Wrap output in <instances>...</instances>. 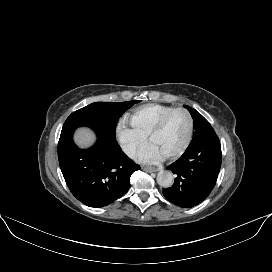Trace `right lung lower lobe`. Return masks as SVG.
<instances>
[{
	"label": "right lung lower lobe",
	"mask_w": 272,
	"mask_h": 272,
	"mask_svg": "<svg viewBox=\"0 0 272 272\" xmlns=\"http://www.w3.org/2000/svg\"><path fill=\"white\" fill-rule=\"evenodd\" d=\"M77 123L64 124L59 143V165L71 193L89 207H103L124 195L132 173L139 165L121 150L115 136L96 127V144L87 150L73 142Z\"/></svg>",
	"instance_id": "98d812e1"
}]
</instances>
